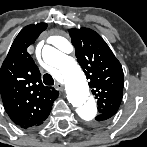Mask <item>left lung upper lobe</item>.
<instances>
[{
	"instance_id": "obj_1",
	"label": "left lung upper lobe",
	"mask_w": 147,
	"mask_h": 147,
	"mask_svg": "<svg viewBox=\"0 0 147 147\" xmlns=\"http://www.w3.org/2000/svg\"><path fill=\"white\" fill-rule=\"evenodd\" d=\"M68 31L77 61L97 99L99 114H115L119 109L124 87L120 62L97 32L88 28H73Z\"/></svg>"
}]
</instances>
